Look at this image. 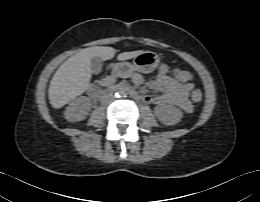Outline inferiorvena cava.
<instances>
[{
  "instance_id": "602c4592",
  "label": "inferior vena cava",
  "mask_w": 260,
  "mask_h": 202,
  "mask_svg": "<svg viewBox=\"0 0 260 202\" xmlns=\"http://www.w3.org/2000/svg\"><path fill=\"white\" fill-rule=\"evenodd\" d=\"M114 99L115 97L112 93L104 94L101 98V103L107 105L113 102Z\"/></svg>"
}]
</instances>
